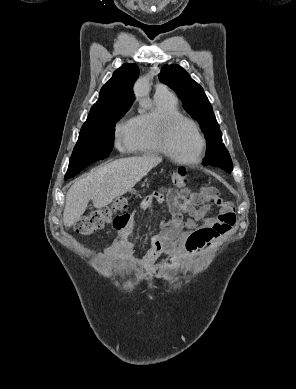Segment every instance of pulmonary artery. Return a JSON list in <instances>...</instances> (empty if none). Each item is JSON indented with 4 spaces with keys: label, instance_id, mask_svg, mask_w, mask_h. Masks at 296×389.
<instances>
[{
    "label": "pulmonary artery",
    "instance_id": "e3ab8cb5",
    "mask_svg": "<svg viewBox=\"0 0 296 389\" xmlns=\"http://www.w3.org/2000/svg\"><path fill=\"white\" fill-rule=\"evenodd\" d=\"M156 93H170V91L166 85L158 84L156 86Z\"/></svg>",
    "mask_w": 296,
    "mask_h": 389
}]
</instances>
